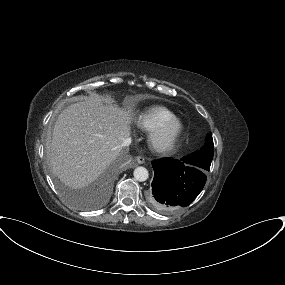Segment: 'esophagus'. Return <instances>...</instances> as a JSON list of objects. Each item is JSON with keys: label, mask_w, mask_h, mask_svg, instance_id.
<instances>
[{"label": "esophagus", "mask_w": 285, "mask_h": 285, "mask_svg": "<svg viewBox=\"0 0 285 285\" xmlns=\"http://www.w3.org/2000/svg\"><path fill=\"white\" fill-rule=\"evenodd\" d=\"M136 161L138 164H143L145 162V159L142 156H137Z\"/></svg>", "instance_id": "34e87169"}]
</instances>
